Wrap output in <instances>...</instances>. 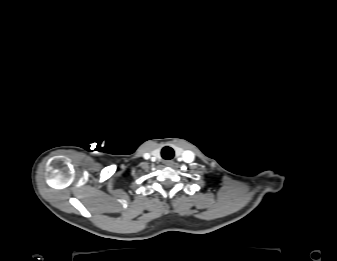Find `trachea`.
Wrapping results in <instances>:
<instances>
[{
    "label": "trachea",
    "mask_w": 337,
    "mask_h": 261,
    "mask_svg": "<svg viewBox=\"0 0 337 261\" xmlns=\"http://www.w3.org/2000/svg\"><path fill=\"white\" fill-rule=\"evenodd\" d=\"M161 156L165 160H170L174 157V150L171 147H164L161 151Z\"/></svg>",
    "instance_id": "trachea-1"
}]
</instances>
